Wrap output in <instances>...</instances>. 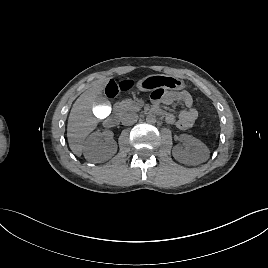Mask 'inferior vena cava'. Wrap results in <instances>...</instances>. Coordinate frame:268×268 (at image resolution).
<instances>
[{
	"mask_svg": "<svg viewBox=\"0 0 268 268\" xmlns=\"http://www.w3.org/2000/svg\"><path fill=\"white\" fill-rule=\"evenodd\" d=\"M138 120V115L134 112L132 113H127L125 114L122 119H121V122L123 125H132L134 124L135 122H137Z\"/></svg>",
	"mask_w": 268,
	"mask_h": 268,
	"instance_id": "1",
	"label": "inferior vena cava"
}]
</instances>
